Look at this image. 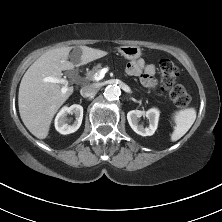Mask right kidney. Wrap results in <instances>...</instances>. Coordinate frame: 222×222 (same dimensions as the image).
I'll return each mask as SVG.
<instances>
[{
	"label": "right kidney",
	"mask_w": 222,
	"mask_h": 222,
	"mask_svg": "<svg viewBox=\"0 0 222 222\" xmlns=\"http://www.w3.org/2000/svg\"><path fill=\"white\" fill-rule=\"evenodd\" d=\"M74 114L76 120L72 125L67 123V115ZM83 119V107L78 104L71 105L70 107L64 106L55 118V128L63 135L74 133L81 126Z\"/></svg>",
	"instance_id": "right-kidney-1"
}]
</instances>
